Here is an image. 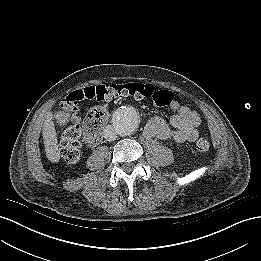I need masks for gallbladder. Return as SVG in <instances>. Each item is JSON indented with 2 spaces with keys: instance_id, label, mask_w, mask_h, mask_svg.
I'll return each instance as SVG.
<instances>
[{
  "instance_id": "bac80fb5",
  "label": "gallbladder",
  "mask_w": 261,
  "mask_h": 261,
  "mask_svg": "<svg viewBox=\"0 0 261 261\" xmlns=\"http://www.w3.org/2000/svg\"><path fill=\"white\" fill-rule=\"evenodd\" d=\"M57 119H58V121L63 122V121H65L66 116L63 113H60V114H58Z\"/></svg>"
}]
</instances>
